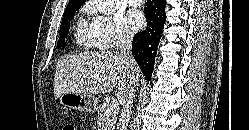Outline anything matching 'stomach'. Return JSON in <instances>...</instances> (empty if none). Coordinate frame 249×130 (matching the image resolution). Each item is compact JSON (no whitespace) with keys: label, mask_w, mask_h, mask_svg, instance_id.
<instances>
[{"label":"stomach","mask_w":249,"mask_h":130,"mask_svg":"<svg viewBox=\"0 0 249 130\" xmlns=\"http://www.w3.org/2000/svg\"><path fill=\"white\" fill-rule=\"evenodd\" d=\"M60 104L66 109L93 113L97 109V98L91 94L65 93L59 97Z\"/></svg>","instance_id":"1"}]
</instances>
